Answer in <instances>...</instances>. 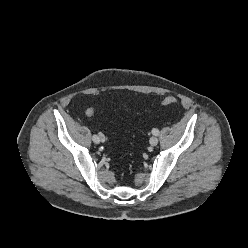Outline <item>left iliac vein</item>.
Returning a JSON list of instances; mask_svg holds the SVG:
<instances>
[{"label":"left iliac vein","mask_w":248,"mask_h":248,"mask_svg":"<svg viewBox=\"0 0 248 248\" xmlns=\"http://www.w3.org/2000/svg\"><path fill=\"white\" fill-rule=\"evenodd\" d=\"M158 138L156 137V136H152L151 138H150V140H149V142H150V144L152 145V146H155V145H157L158 144Z\"/></svg>","instance_id":"4c4485c4"}]
</instances>
